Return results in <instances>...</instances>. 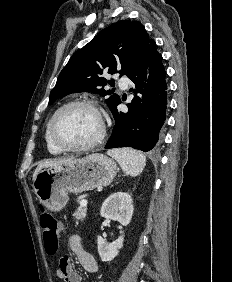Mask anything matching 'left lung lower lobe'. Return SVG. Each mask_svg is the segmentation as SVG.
Instances as JSON below:
<instances>
[{"label":"left lung lower lobe","instance_id":"1","mask_svg":"<svg viewBox=\"0 0 232 282\" xmlns=\"http://www.w3.org/2000/svg\"><path fill=\"white\" fill-rule=\"evenodd\" d=\"M134 83V98L127 113L110 109L115 119L112 135L105 148L132 147L144 152L156 150L162 141L161 129L166 119L167 84L162 56L152 40L139 63L128 73Z\"/></svg>","mask_w":232,"mask_h":282}]
</instances>
